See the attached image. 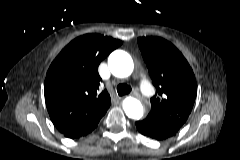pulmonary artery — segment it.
I'll list each match as a JSON object with an SVG mask.
<instances>
[{"instance_id": "e3ab8cb5", "label": "pulmonary artery", "mask_w": 240, "mask_h": 160, "mask_svg": "<svg viewBox=\"0 0 240 160\" xmlns=\"http://www.w3.org/2000/svg\"><path fill=\"white\" fill-rule=\"evenodd\" d=\"M140 84L142 87L146 88L148 91H147V95H151L152 94V89L150 87V83H149V80L148 78L145 76V75H142L140 77Z\"/></svg>"}]
</instances>
